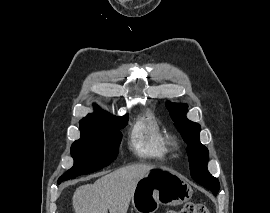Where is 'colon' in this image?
<instances>
[{
    "mask_svg": "<svg viewBox=\"0 0 270 213\" xmlns=\"http://www.w3.org/2000/svg\"><path fill=\"white\" fill-rule=\"evenodd\" d=\"M166 213H210V211L205 204L186 203L179 211L169 210Z\"/></svg>",
    "mask_w": 270,
    "mask_h": 213,
    "instance_id": "colon-1",
    "label": "colon"
}]
</instances>
